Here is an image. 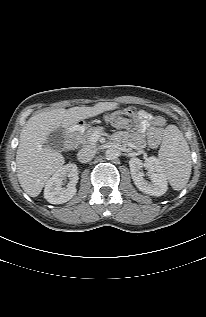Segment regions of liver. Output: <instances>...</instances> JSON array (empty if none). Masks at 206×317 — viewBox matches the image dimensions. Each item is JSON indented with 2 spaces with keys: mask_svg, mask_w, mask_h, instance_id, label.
<instances>
[{
  "mask_svg": "<svg viewBox=\"0 0 206 317\" xmlns=\"http://www.w3.org/2000/svg\"><path fill=\"white\" fill-rule=\"evenodd\" d=\"M116 108V102H100L92 107L59 108L30 117L20 133L16 153L17 177L22 189L37 197L50 176L63 166V155L44 146L51 132L58 128L70 130L86 118Z\"/></svg>",
  "mask_w": 206,
  "mask_h": 317,
  "instance_id": "1",
  "label": "liver"
}]
</instances>
